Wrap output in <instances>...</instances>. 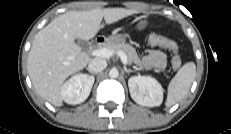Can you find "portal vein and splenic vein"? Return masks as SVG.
Returning a JSON list of instances; mask_svg holds the SVG:
<instances>
[{
	"label": "portal vein and splenic vein",
	"instance_id": "obj_1",
	"mask_svg": "<svg viewBox=\"0 0 231 134\" xmlns=\"http://www.w3.org/2000/svg\"><path fill=\"white\" fill-rule=\"evenodd\" d=\"M115 53L116 52H114L113 50L106 49V48H101V49H97V50L92 51L93 56L102 57V58H110ZM117 55L120 57V59L124 65L128 64L127 56L125 55V53H123L122 51H118Z\"/></svg>",
	"mask_w": 231,
	"mask_h": 134
}]
</instances>
